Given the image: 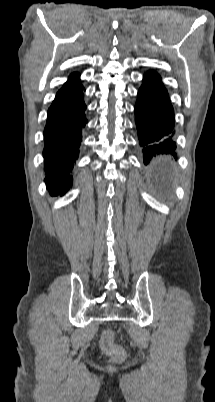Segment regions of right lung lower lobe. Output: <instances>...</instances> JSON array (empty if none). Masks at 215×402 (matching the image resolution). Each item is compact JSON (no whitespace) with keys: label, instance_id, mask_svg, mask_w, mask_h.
<instances>
[{"label":"right lung lower lobe","instance_id":"obj_1","mask_svg":"<svg viewBox=\"0 0 215 402\" xmlns=\"http://www.w3.org/2000/svg\"><path fill=\"white\" fill-rule=\"evenodd\" d=\"M78 80L60 89L48 109L44 129L45 181L52 194H63L72 185L70 171L78 158L82 130L88 120L83 91Z\"/></svg>","mask_w":215,"mask_h":402}]
</instances>
